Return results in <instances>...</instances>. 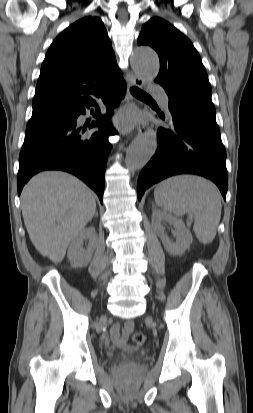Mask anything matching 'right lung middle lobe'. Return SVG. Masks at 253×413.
<instances>
[{
    "label": "right lung middle lobe",
    "mask_w": 253,
    "mask_h": 413,
    "mask_svg": "<svg viewBox=\"0 0 253 413\" xmlns=\"http://www.w3.org/2000/svg\"><path fill=\"white\" fill-rule=\"evenodd\" d=\"M70 115L71 110L32 116L28 122L25 137L56 127L69 120Z\"/></svg>",
    "instance_id": "dd1d6c3e"
}]
</instances>
